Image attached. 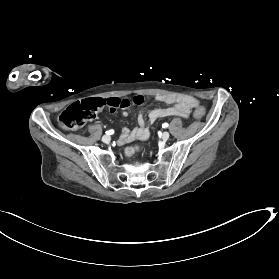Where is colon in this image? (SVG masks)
I'll use <instances>...</instances> for the list:
<instances>
[{"instance_id": "colon-1", "label": "colon", "mask_w": 279, "mask_h": 279, "mask_svg": "<svg viewBox=\"0 0 279 279\" xmlns=\"http://www.w3.org/2000/svg\"><path fill=\"white\" fill-rule=\"evenodd\" d=\"M188 97V96H185ZM147 101V98L142 95L128 98H94L87 99L82 102L74 103L67 107L58 117L59 124L67 130H77L83 127L88 121L96 117V114L106 106L112 108H126L133 104L142 105ZM195 108L194 117L202 119L205 115V109L198 106L196 100L192 101ZM136 148L128 151V154L133 153Z\"/></svg>"}]
</instances>
